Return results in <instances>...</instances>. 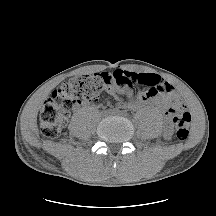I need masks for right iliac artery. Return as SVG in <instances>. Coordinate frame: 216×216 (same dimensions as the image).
<instances>
[{
    "mask_svg": "<svg viewBox=\"0 0 216 216\" xmlns=\"http://www.w3.org/2000/svg\"><path fill=\"white\" fill-rule=\"evenodd\" d=\"M117 111H118V109H113V110H112V112H117Z\"/></svg>",
    "mask_w": 216,
    "mask_h": 216,
    "instance_id": "82829eb1",
    "label": "right iliac artery"
}]
</instances>
